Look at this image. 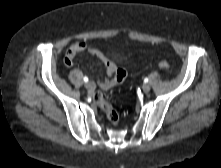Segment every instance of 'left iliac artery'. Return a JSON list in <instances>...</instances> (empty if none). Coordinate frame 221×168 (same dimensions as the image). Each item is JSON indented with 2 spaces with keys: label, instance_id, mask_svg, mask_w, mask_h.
Wrapping results in <instances>:
<instances>
[{
  "label": "left iliac artery",
  "instance_id": "obj_1",
  "mask_svg": "<svg viewBox=\"0 0 221 168\" xmlns=\"http://www.w3.org/2000/svg\"><path fill=\"white\" fill-rule=\"evenodd\" d=\"M148 81H149V79H148V78H145V79H144V82H145V83H147Z\"/></svg>",
  "mask_w": 221,
  "mask_h": 168
}]
</instances>
